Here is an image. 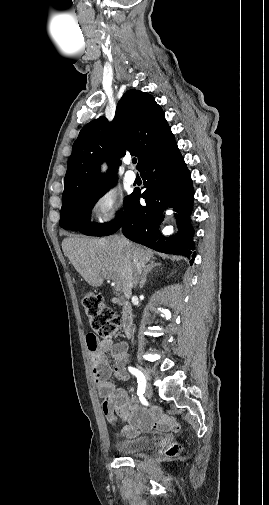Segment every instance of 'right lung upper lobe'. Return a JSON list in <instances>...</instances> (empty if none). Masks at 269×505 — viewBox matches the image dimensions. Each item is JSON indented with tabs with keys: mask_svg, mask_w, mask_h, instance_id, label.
<instances>
[{
	"mask_svg": "<svg viewBox=\"0 0 269 505\" xmlns=\"http://www.w3.org/2000/svg\"><path fill=\"white\" fill-rule=\"evenodd\" d=\"M174 142L164 112L154 97L139 90L127 91L118 102L112 122L101 116L80 131L68 160L62 202L79 192L116 181L118 159L126 153L138 157L140 171ZM104 160L109 165L106 175L100 173Z\"/></svg>",
	"mask_w": 269,
	"mask_h": 505,
	"instance_id": "cb5924a9",
	"label": "right lung upper lobe"
}]
</instances>
